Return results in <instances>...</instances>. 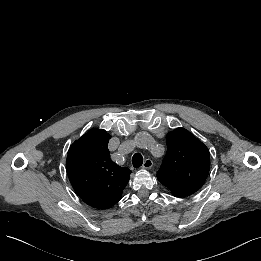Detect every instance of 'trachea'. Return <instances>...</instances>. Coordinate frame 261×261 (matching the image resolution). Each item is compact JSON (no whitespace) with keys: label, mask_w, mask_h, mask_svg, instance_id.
I'll list each match as a JSON object with an SVG mask.
<instances>
[{"label":"trachea","mask_w":261,"mask_h":261,"mask_svg":"<svg viewBox=\"0 0 261 261\" xmlns=\"http://www.w3.org/2000/svg\"><path fill=\"white\" fill-rule=\"evenodd\" d=\"M133 167L139 168L143 164V157L140 153H135L132 157Z\"/></svg>","instance_id":"1"}]
</instances>
